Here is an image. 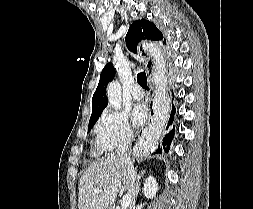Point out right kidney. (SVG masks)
Segmentation results:
<instances>
[{
  "mask_svg": "<svg viewBox=\"0 0 253 209\" xmlns=\"http://www.w3.org/2000/svg\"><path fill=\"white\" fill-rule=\"evenodd\" d=\"M158 190V184L153 176L146 178L143 185V193L146 198H153Z\"/></svg>",
  "mask_w": 253,
  "mask_h": 209,
  "instance_id": "right-kidney-1",
  "label": "right kidney"
}]
</instances>
